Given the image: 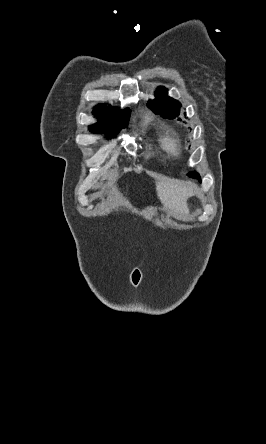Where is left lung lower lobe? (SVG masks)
Instances as JSON below:
<instances>
[{
	"mask_svg": "<svg viewBox=\"0 0 266 444\" xmlns=\"http://www.w3.org/2000/svg\"><path fill=\"white\" fill-rule=\"evenodd\" d=\"M193 173L195 174L196 178L200 181V176L195 172H193Z\"/></svg>",
	"mask_w": 266,
	"mask_h": 444,
	"instance_id": "1",
	"label": "left lung lower lobe"
}]
</instances>
